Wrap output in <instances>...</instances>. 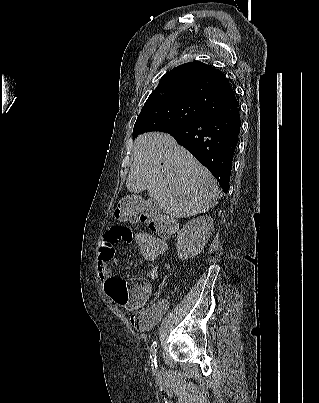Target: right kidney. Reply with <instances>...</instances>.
I'll return each mask as SVG.
<instances>
[{
	"mask_svg": "<svg viewBox=\"0 0 319 403\" xmlns=\"http://www.w3.org/2000/svg\"><path fill=\"white\" fill-rule=\"evenodd\" d=\"M214 229L211 216H200L187 222L177 235V255L181 260L197 256L206 246Z\"/></svg>",
	"mask_w": 319,
	"mask_h": 403,
	"instance_id": "ca27d5eb",
	"label": "right kidney"
}]
</instances>
